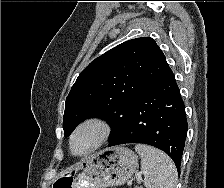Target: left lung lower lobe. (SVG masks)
<instances>
[{
    "label": "left lung lower lobe",
    "instance_id": "1",
    "mask_svg": "<svg viewBox=\"0 0 224 188\" xmlns=\"http://www.w3.org/2000/svg\"><path fill=\"white\" fill-rule=\"evenodd\" d=\"M187 129L184 104L170 70L142 91L109 147L125 143L152 145L166 152L180 173Z\"/></svg>",
    "mask_w": 224,
    "mask_h": 188
}]
</instances>
